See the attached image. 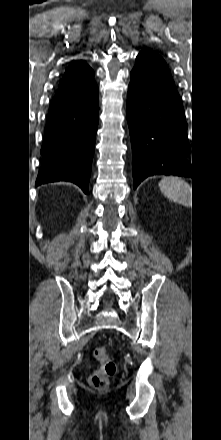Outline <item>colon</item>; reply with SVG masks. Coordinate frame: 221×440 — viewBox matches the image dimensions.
I'll list each match as a JSON object with an SVG mask.
<instances>
[{
    "label": "colon",
    "mask_w": 221,
    "mask_h": 440,
    "mask_svg": "<svg viewBox=\"0 0 221 440\" xmlns=\"http://www.w3.org/2000/svg\"><path fill=\"white\" fill-rule=\"evenodd\" d=\"M94 357L99 363V367L91 374L89 384L98 390L106 389L109 379L117 372V365L110 357L109 350L104 346L94 349Z\"/></svg>",
    "instance_id": "obj_1"
}]
</instances>
